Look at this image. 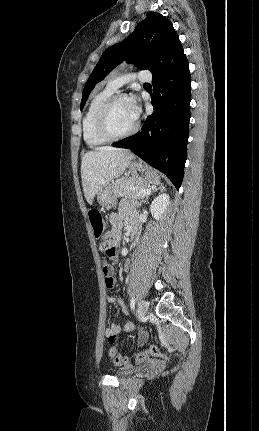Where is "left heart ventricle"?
<instances>
[{
  "label": "left heart ventricle",
  "instance_id": "b2bd125f",
  "mask_svg": "<svg viewBox=\"0 0 259 431\" xmlns=\"http://www.w3.org/2000/svg\"><path fill=\"white\" fill-rule=\"evenodd\" d=\"M136 119L132 116L127 99L119 100L112 108L110 115L111 128L116 133H124L130 130Z\"/></svg>",
  "mask_w": 259,
  "mask_h": 431
}]
</instances>
